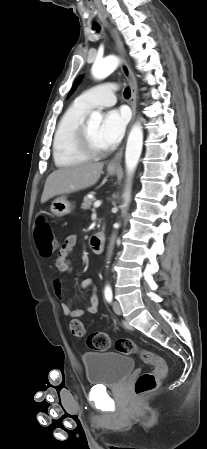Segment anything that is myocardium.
I'll list each match as a JSON object with an SVG mask.
<instances>
[{"label": "myocardium", "instance_id": "obj_1", "mask_svg": "<svg viewBox=\"0 0 207 449\" xmlns=\"http://www.w3.org/2000/svg\"><path fill=\"white\" fill-rule=\"evenodd\" d=\"M75 145L81 154L91 159L99 158L108 152L107 148L100 149L92 144L85 122H82L77 129Z\"/></svg>", "mask_w": 207, "mask_h": 449}]
</instances>
